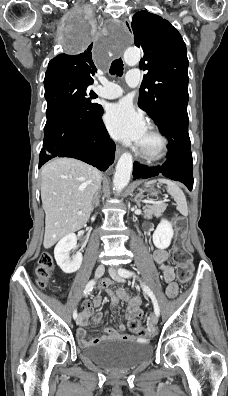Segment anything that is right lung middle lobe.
Masks as SVG:
<instances>
[{"mask_svg":"<svg viewBox=\"0 0 228 396\" xmlns=\"http://www.w3.org/2000/svg\"><path fill=\"white\" fill-rule=\"evenodd\" d=\"M94 35L93 27L80 25L78 34L71 38L75 48L86 46ZM91 83L74 77L45 78L47 122L62 116L93 118L100 105L93 103L97 95L88 89Z\"/></svg>","mask_w":228,"mask_h":396,"instance_id":"right-lung-middle-lobe-1","label":"right lung middle lobe"}]
</instances>
